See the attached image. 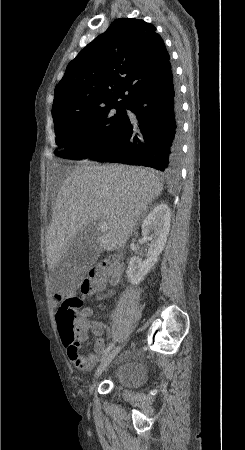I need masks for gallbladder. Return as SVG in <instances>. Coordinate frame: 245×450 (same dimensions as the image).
Listing matches in <instances>:
<instances>
[{
	"label": "gallbladder",
	"mask_w": 245,
	"mask_h": 450,
	"mask_svg": "<svg viewBox=\"0 0 245 450\" xmlns=\"http://www.w3.org/2000/svg\"><path fill=\"white\" fill-rule=\"evenodd\" d=\"M101 251L95 237L89 234L79 235L60 259L58 267L66 268L72 275L81 274L94 264Z\"/></svg>",
	"instance_id": "gallbladder-1"
}]
</instances>
